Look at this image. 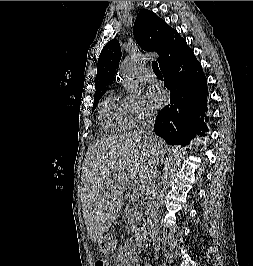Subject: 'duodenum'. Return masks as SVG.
I'll return each instance as SVG.
<instances>
[{"label":"duodenum","mask_w":253,"mask_h":266,"mask_svg":"<svg viewBox=\"0 0 253 266\" xmlns=\"http://www.w3.org/2000/svg\"><path fill=\"white\" fill-rule=\"evenodd\" d=\"M121 264V266H130V261L127 257H125Z\"/></svg>","instance_id":"1"}]
</instances>
